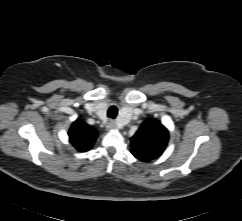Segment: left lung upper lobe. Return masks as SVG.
I'll return each instance as SVG.
<instances>
[{"label": "left lung upper lobe", "mask_w": 242, "mask_h": 221, "mask_svg": "<svg viewBox=\"0 0 242 221\" xmlns=\"http://www.w3.org/2000/svg\"><path fill=\"white\" fill-rule=\"evenodd\" d=\"M167 142V129L154 119H147L131 138V153L147 162L159 157L165 150Z\"/></svg>", "instance_id": "5c2ea615"}]
</instances>
